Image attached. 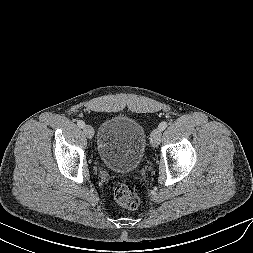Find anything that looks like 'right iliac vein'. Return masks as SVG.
Segmentation results:
<instances>
[{
    "instance_id": "63e3f726",
    "label": "right iliac vein",
    "mask_w": 253,
    "mask_h": 253,
    "mask_svg": "<svg viewBox=\"0 0 253 253\" xmlns=\"http://www.w3.org/2000/svg\"><path fill=\"white\" fill-rule=\"evenodd\" d=\"M84 134L87 138L91 139L94 136V129L90 125L83 127Z\"/></svg>"
}]
</instances>
